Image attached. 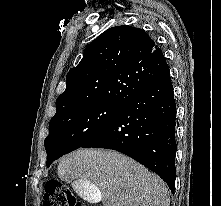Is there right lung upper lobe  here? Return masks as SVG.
I'll return each mask as SVG.
<instances>
[{"label": "right lung upper lobe", "instance_id": "right-lung-upper-lobe-1", "mask_svg": "<svg viewBox=\"0 0 221 206\" xmlns=\"http://www.w3.org/2000/svg\"><path fill=\"white\" fill-rule=\"evenodd\" d=\"M168 70L162 51L144 30L110 28L86 47L80 63L68 72L56 113L94 103L123 105Z\"/></svg>", "mask_w": 221, "mask_h": 206}]
</instances>
